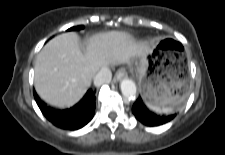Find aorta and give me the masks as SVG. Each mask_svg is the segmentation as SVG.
Here are the masks:
<instances>
[{
	"label": "aorta",
	"instance_id": "obj_1",
	"mask_svg": "<svg viewBox=\"0 0 225 155\" xmlns=\"http://www.w3.org/2000/svg\"><path fill=\"white\" fill-rule=\"evenodd\" d=\"M120 88L122 94L126 98H134L137 93V88L135 83L130 79H123L120 83Z\"/></svg>",
	"mask_w": 225,
	"mask_h": 155
}]
</instances>
